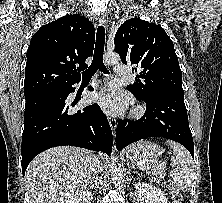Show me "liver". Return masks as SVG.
<instances>
[{
  "mask_svg": "<svg viewBox=\"0 0 222 203\" xmlns=\"http://www.w3.org/2000/svg\"><path fill=\"white\" fill-rule=\"evenodd\" d=\"M93 162H99L97 156L73 146L42 152L31 161L25 174L30 203H66L83 192Z\"/></svg>",
  "mask_w": 222,
  "mask_h": 203,
  "instance_id": "obj_1",
  "label": "liver"
}]
</instances>
